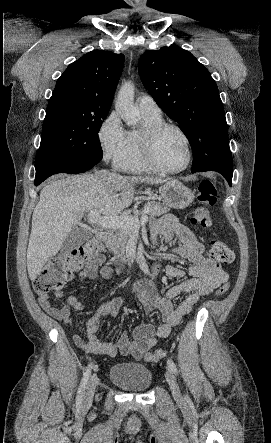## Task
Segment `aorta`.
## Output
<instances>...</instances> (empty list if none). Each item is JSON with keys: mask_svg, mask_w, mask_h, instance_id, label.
I'll use <instances>...</instances> for the list:
<instances>
[{"mask_svg": "<svg viewBox=\"0 0 271 443\" xmlns=\"http://www.w3.org/2000/svg\"><path fill=\"white\" fill-rule=\"evenodd\" d=\"M134 90L133 82H125L121 86L115 102V110L126 126H138L140 122L139 110L134 106Z\"/></svg>", "mask_w": 271, "mask_h": 443, "instance_id": "aorta-1", "label": "aorta"}]
</instances>
